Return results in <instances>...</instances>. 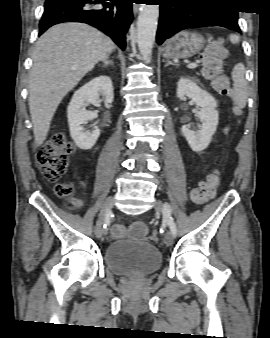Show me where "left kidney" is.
Instances as JSON below:
<instances>
[{
	"label": "left kidney",
	"instance_id": "left-kidney-1",
	"mask_svg": "<svg viewBox=\"0 0 270 338\" xmlns=\"http://www.w3.org/2000/svg\"><path fill=\"white\" fill-rule=\"evenodd\" d=\"M187 96L200 107L198 113L201 122L199 130H191L189 125H183L181 130L194 152L205 150L211 142L218 125L217 102L214 97L200 88L194 81L180 78L177 86V97Z\"/></svg>",
	"mask_w": 270,
	"mask_h": 338
}]
</instances>
